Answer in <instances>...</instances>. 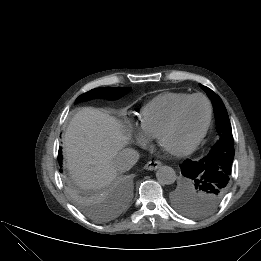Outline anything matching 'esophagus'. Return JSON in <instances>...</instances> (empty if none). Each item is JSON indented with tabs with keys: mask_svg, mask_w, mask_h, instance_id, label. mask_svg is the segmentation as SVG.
I'll use <instances>...</instances> for the list:
<instances>
[{
	"mask_svg": "<svg viewBox=\"0 0 261 261\" xmlns=\"http://www.w3.org/2000/svg\"><path fill=\"white\" fill-rule=\"evenodd\" d=\"M162 165V163L158 160H153V161H149L145 166L144 169L145 170H157L158 168H160Z\"/></svg>",
	"mask_w": 261,
	"mask_h": 261,
	"instance_id": "obj_1",
	"label": "esophagus"
}]
</instances>
